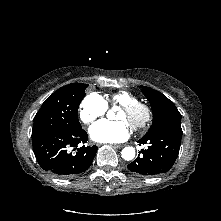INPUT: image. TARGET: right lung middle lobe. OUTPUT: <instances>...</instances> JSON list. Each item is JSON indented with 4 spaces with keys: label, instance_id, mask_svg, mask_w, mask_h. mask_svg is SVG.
<instances>
[{
    "label": "right lung middle lobe",
    "instance_id": "right-lung-middle-lobe-1",
    "mask_svg": "<svg viewBox=\"0 0 221 221\" xmlns=\"http://www.w3.org/2000/svg\"><path fill=\"white\" fill-rule=\"evenodd\" d=\"M87 86L71 83L55 91L34 117L32 139L48 131L81 129L77 110Z\"/></svg>",
    "mask_w": 221,
    "mask_h": 221
}]
</instances>
